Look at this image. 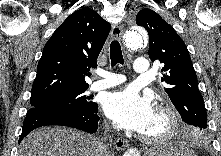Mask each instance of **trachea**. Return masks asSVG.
<instances>
[{
    "label": "trachea",
    "mask_w": 221,
    "mask_h": 156,
    "mask_svg": "<svg viewBox=\"0 0 221 156\" xmlns=\"http://www.w3.org/2000/svg\"><path fill=\"white\" fill-rule=\"evenodd\" d=\"M110 59L112 67H114L116 64H124L121 46L116 40L112 41L110 44Z\"/></svg>",
    "instance_id": "3493384b"
}]
</instances>
